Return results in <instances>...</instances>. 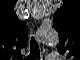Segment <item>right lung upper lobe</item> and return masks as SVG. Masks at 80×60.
Segmentation results:
<instances>
[{"label": "right lung upper lobe", "instance_id": "cb5924a9", "mask_svg": "<svg viewBox=\"0 0 80 60\" xmlns=\"http://www.w3.org/2000/svg\"><path fill=\"white\" fill-rule=\"evenodd\" d=\"M17 24H18V30H17V34H18V37L21 39V40H23L24 39V34H23V32H22V29H21V26H22V23L18 20L17 21V19H16V27H17ZM15 25V23L13 24V26ZM10 36H11V40H13L14 41V39L13 38H15V34L12 32V31H10Z\"/></svg>", "mask_w": 80, "mask_h": 60}]
</instances>
